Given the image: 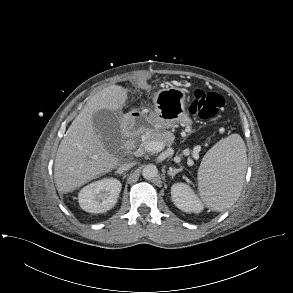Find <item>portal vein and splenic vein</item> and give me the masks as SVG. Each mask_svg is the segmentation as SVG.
Here are the masks:
<instances>
[{
  "label": "portal vein and splenic vein",
  "mask_w": 293,
  "mask_h": 293,
  "mask_svg": "<svg viewBox=\"0 0 293 293\" xmlns=\"http://www.w3.org/2000/svg\"><path fill=\"white\" fill-rule=\"evenodd\" d=\"M164 147L165 145L160 141H148L144 145L145 150L152 151V152H160L161 150H163ZM193 157L195 159H198L199 158L198 153L193 152Z\"/></svg>",
  "instance_id": "portal-vein-and-splenic-vein-1"
}]
</instances>
